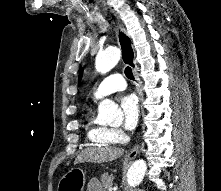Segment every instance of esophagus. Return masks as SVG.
Masks as SVG:
<instances>
[{
    "label": "esophagus",
    "mask_w": 221,
    "mask_h": 191,
    "mask_svg": "<svg viewBox=\"0 0 221 191\" xmlns=\"http://www.w3.org/2000/svg\"><path fill=\"white\" fill-rule=\"evenodd\" d=\"M116 33H117V38L122 50L123 54V60L126 64H130L132 66V71L133 75L138 82V93L141 97L143 98V93L140 89V81H139V76H138V67L137 63L135 61V51L132 45V41L130 36L128 35L126 29L119 23H116ZM139 152V145H135L130 152L128 153V157L134 158Z\"/></svg>",
    "instance_id": "34e87169"
}]
</instances>
